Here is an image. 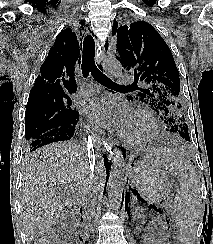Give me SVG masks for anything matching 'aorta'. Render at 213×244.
Instances as JSON below:
<instances>
[{"label":"aorta","instance_id":"1","mask_svg":"<svg viewBox=\"0 0 213 244\" xmlns=\"http://www.w3.org/2000/svg\"><path fill=\"white\" fill-rule=\"evenodd\" d=\"M103 67L108 73L115 76L120 75L122 72L121 63L112 57L105 59ZM124 165L123 153L122 151H117L112 161L108 184L109 203L114 210H118L122 202V194L125 184Z\"/></svg>","mask_w":213,"mask_h":244}]
</instances>
